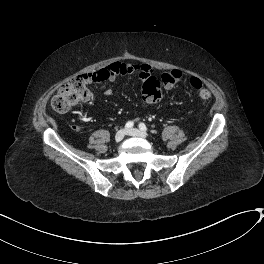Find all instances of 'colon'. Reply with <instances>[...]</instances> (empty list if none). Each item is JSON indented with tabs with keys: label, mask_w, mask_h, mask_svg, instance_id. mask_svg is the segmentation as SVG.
Masks as SVG:
<instances>
[{
	"label": "colon",
	"mask_w": 264,
	"mask_h": 264,
	"mask_svg": "<svg viewBox=\"0 0 264 264\" xmlns=\"http://www.w3.org/2000/svg\"><path fill=\"white\" fill-rule=\"evenodd\" d=\"M122 73L125 70L122 69ZM181 78L178 70L165 71L160 78L151 77L144 81L142 93L146 99L157 100L162 96V87H173ZM191 86L197 91L200 99L208 100L210 92L196 79H190ZM95 97L93 90L89 88L83 77L72 78L63 83L51 99V106L57 112H67L75 107L85 106Z\"/></svg>",
	"instance_id": "obj_1"
}]
</instances>
